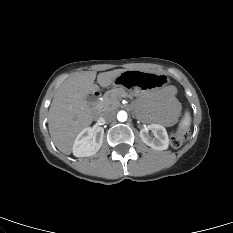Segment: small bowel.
<instances>
[{"label": "small bowel", "instance_id": "c3829d8e", "mask_svg": "<svg viewBox=\"0 0 233 233\" xmlns=\"http://www.w3.org/2000/svg\"><path fill=\"white\" fill-rule=\"evenodd\" d=\"M142 98L144 101L153 98L147 106L152 111L150 116L152 121L171 124L177 119L180 104L175 97V91L172 87H167L154 96L143 94Z\"/></svg>", "mask_w": 233, "mask_h": 233}]
</instances>
